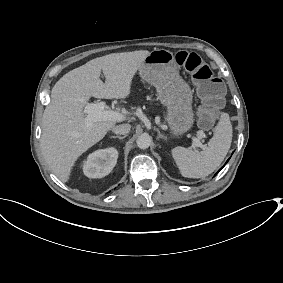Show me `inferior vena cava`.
Listing matches in <instances>:
<instances>
[{"label":"inferior vena cava","instance_id":"1","mask_svg":"<svg viewBox=\"0 0 283 283\" xmlns=\"http://www.w3.org/2000/svg\"><path fill=\"white\" fill-rule=\"evenodd\" d=\"M130 128V124L124 123L113 127V132L116 134H127L130 132Z\"/></svg>","mask_w":283,"mask_h":283}]
</instances>
